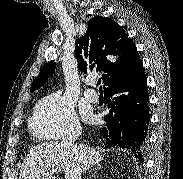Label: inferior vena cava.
Here are the masks:
<instances>
[{"label":"inferior vena cava","instance_id":"obj_1","mask_svg":"<svg viewBox=\"0 0 183 179\" xmlns=\"http://www.w3.org/2000/svg\"><path fill=\"white\" fill-rule=\"evenodd\" d=\"M81 134V131L76 130L72 133L67 134L63 139H62V144L65 148L67 149H74L75 148V141Z\"/></svg>","mask_w":183,"mask_h":179}]
</instances>
